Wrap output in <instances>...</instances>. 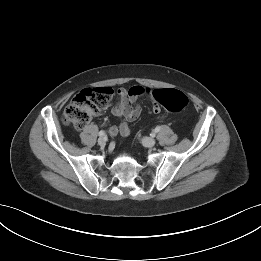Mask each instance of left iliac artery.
Instances as JSON below:
<instances>
[{
	"mask_svg": "<svg viewBox=\"0 0 261 261\" xmlns=\"http://www.w3.org/2000/svg\"><path fill=\"white\" fill-rule=\"evenodd\" d=\"M160 131V127L157 126L155 129H154V133H158Z\"/></svg>",
	"mask_w": 261,
	"mask_h": 261,
	"instance_id": "left-iliac-artery-1",
	"label": "left iliac artery"
}]
</instances>
